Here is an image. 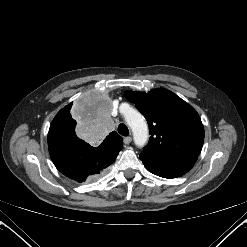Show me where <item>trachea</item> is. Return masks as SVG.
I'll return each instance as SVG.
<instances>
[{"instance_id":"3493384b","label":"trachea","mask_w":247,"mask_h":247,"mask_svg":"<svg viewBox=\"0 0 247 247\" xmlns=\"http://www.w3.org/2000/svg\"><path fill=\"white\" fill-rule=\"evenodd\" d=\"M118 132L122 136H128L129 135V129H128V127L125 124H120L118 126Z\"/></svg>"}]
</instances>
